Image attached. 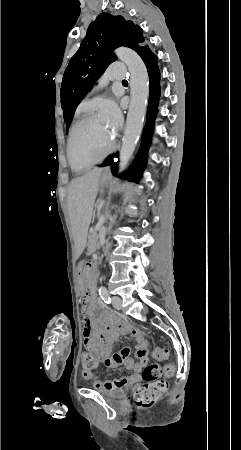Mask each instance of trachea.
Segmentation results:
<instances>
[{
  "label": "trachea",
  "mask_w": 241,
  "mask_h": 450,
  "mask_svg": "<svg viewBox=\"0 0 241 450\" xmlns=\"http://www.w3.org/2000/svg\"><path fill=\"white\" fill-rule=\"evenodd\" d=\"M127 80H122V82H126Z\"/></svg>",
  "instance_id": "3493384b"
}]
</instances>
